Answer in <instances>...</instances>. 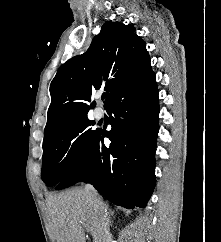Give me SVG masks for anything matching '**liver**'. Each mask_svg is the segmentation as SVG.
<instances>
[{
    "label": "liver",
    "mask_w": 221,
    "mask_h": 242,
    "mask_svg": "<svg viewBox=\"0 0 221 242\" xmlns=\"http://www.w3.org/2000/svg\"><path fill=\"white\" fill-rule=\"evenodd\" d=\"M48 233L56 242H85L84 228L97 237V217L85 189L67 190L47 199Z\"/></svg>",
    "instance_id": "1"
}]
</instances>
